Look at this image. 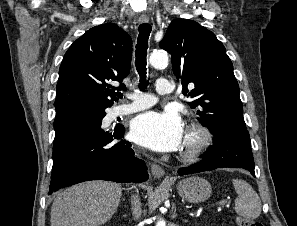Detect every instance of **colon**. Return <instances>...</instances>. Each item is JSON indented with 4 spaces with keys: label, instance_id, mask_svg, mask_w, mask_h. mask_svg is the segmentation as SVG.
Instances as JSON below:
<instances>
[{
    "label": "colon",
    "instance_id": "obj_1",
    "mask_svg": "<svg viewBox=\"0 0 297 226\" xmlns=\"http://www.w3.org/2000/svg\"><path fill=\"white\" fill-rule=\"evenodd\" d=\"M238 226H263L260 222L244 217L237 218Z\"/></svg>",
    "mask_w": 297,
    "mask_h": 226
}]
</instances>
